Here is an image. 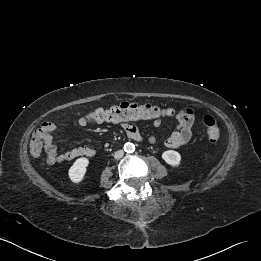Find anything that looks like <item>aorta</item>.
<instances>
[{
  "mask_svg": "<svg viewBox=\"0 0 261 261\" xmlns=\"http://www.w3.org/2000/svg\"><path fill=\"white\" fill-rule=\"evenodd\" d=\"M124 151L127 153H133L135 151V145L131 142H127L124 145Z\"/></svg>",
  "mask_w": 261,
  "mask_h": 261,
  "instance_id": "1",
  "label": "aorta"
}]
</instances>
